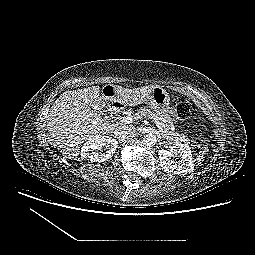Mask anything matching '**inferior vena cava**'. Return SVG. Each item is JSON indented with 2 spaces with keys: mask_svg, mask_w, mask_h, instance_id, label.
Segmentation results:
<instances>
[{
  "mask_svg": "<svg viewBox=\"0 0 255 255\" xmlns=\"http://www.w3.org/2000/svg\"><path fill=\"white\" fill-rule=\"evenodd\" d=\"M134 133H135V127L132 126V125L119 126L115 130L116 136H119L120 138L128 137V136H130V135H132Z\"/></svg>",
  "mask_w": 255,
  "mask_h": 255,
  "instance_id": "602c4592",
  "label": "inferior vena cava"
}]
</instances>
